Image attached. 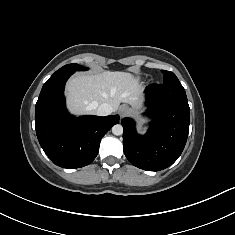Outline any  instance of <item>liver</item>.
Wrapping results in <instances>:
<instances>
[{
	"label": "liver",
	"mask_w": 235,
	"mask_h": 235,
	"mask_svg": "<svg viewBox=\"0 0 235 235\" xmlns=\"http://www.w3.org/2000/svg\"><path fill=\"white\" fill-rule=\"evenodd\" d=\"M142 86L127 72L104 71L99 74H79L66 85L69 110L76 114H96V109L108 103L117 111L120 103L134 108L141 105Z\"/></svg>",
	"instance_id": "obj_1"
}]
</instances>
